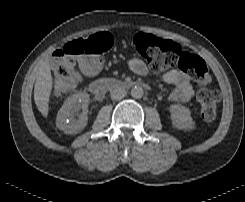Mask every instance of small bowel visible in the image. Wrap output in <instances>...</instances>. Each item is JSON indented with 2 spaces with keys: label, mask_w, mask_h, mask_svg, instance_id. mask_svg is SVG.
Here are the masks:
<instances>
[{
  "label": "small bowel",
  "mask_w": 245,
  "mask_h": 202,
  "mask_svg": "<svg viewBox=\"0 0 245 202\" xmlns=\"http://www.w3.org/2000/svg\"><path fill=\"white\" fill-rule=\"evenodd\" d=\"M85 65L89 67L91 74H96L101 70V63L97 65L95 60H86ZM129 70L137 76H145L148 69L144 62L138 58H133L127 61ZM165 83L173 85L174 89L169 94V100L172 102H188L194 95V88L190 77L185 72L179 69H171L163 76Z\"/></svg>",
  "instance_id": "c3829d8e"
}]
</instances>
